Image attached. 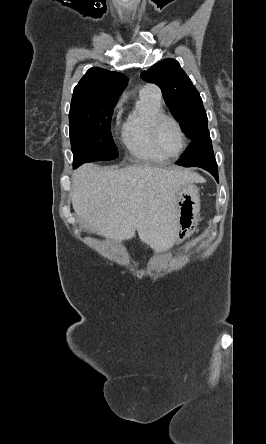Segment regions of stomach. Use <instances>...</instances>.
Instances as JSON below:
<instances>
[{"instance_id":"0dacf381","label":"stomach","mask_w":266,"mask_h":444,"mask_svg":"<svg viewBox=\"0 0 266 444\" xmlns=\"http://www.w3.org/2000/svg\"><path fill=\"white\" fill-rule=\"evenodd\" d=\"M199 212L198 188L191 183L181 187L175 197L176 239H185L194 231L199 220Z\"/></svg>"}]
</instances>
